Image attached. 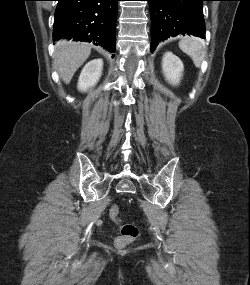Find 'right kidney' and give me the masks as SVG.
I'll use <instances>...</instances> for the list:
<instances>
[{
	"label": "right kidney",
	"instance_id": "right-kidney-1",
	"mask_svg": "<svg viewBox=\"0 0 250 285\" xmlns=\"http://www.w3.org/2000/svg\"><path fill=\"white\" fill-rule=\"evenodd\" d=\"M103 68L102 59H94L88 62L81 71L78 79V89L87 91L94 87L99 81Z\"/></svg>",
	"mask_w": 250,
	"mask_h": 285
}]
</instances>
